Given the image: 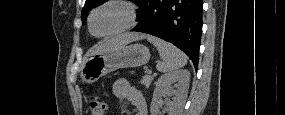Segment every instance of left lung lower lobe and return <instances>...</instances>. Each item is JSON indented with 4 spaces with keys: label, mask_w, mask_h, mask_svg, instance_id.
<instances>
[{
    "label": "left lung lower lobe",
    "mask_w": 285,
    "mask_h": 115,
    "mask_svg": "<svg viewBox=\"0 0 285 115\" xmlns=\"http://www.w3.org/2000/svg\"><path fill=\"white\" fill-rule=\"evenodd\" d=\"M201 0H144L138 25L132 30L164 39L181 49L198 66L202 33Z\"/></svg>",
    "instance_id": "obj_1"
}]
</instances>
